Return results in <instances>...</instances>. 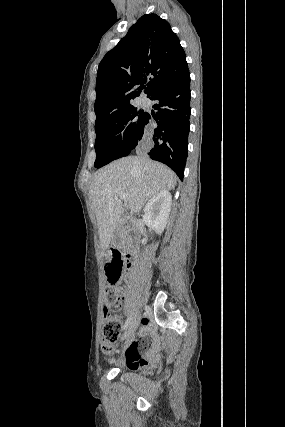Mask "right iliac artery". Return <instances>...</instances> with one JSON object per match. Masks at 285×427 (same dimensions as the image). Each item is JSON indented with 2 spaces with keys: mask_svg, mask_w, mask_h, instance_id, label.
<instances>
[{
  "mask_svg": "<svg viewBox=\"0 0 285 427\" xmlns=\"http://www.w3.org/2000/svg\"><path fill=\"white\" fill-rule=\"evenodd\" d=\"M131 320H132V316L128 317V319L126 320V322L124 324L123 330H125L129 326Z\"/></svg>",
  "mask_w": 285,
  "mask_h": 427,
  "instance_id": "right-iliac-artery-1",
  "label": "right iliac artery"
}]
</instances>
